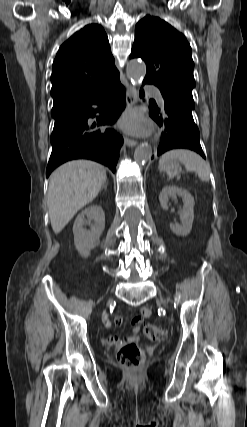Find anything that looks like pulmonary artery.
I'll list each match as a JSON object with an SVG mask.
<instances>
[{
  "instance_id": "1",
  "label": "pulmonary artery",
  "mask_w": 247,
  "mask_h": 427,
  "mask_svg": "<svg viewBox=\"0 0 247 427\" xmlns=\"http://www.w3.org/2000/svg\"><path fill=\"white\" fill-rule=\"evenodd\" d=\"M147 90H148L149 92H151V93L155 96V98L157 99V101H158L161 105H164V100H163L162 94H161V92L159 91V89H157L156 87L148 86V87H147Z\"/></svg>"
}]
</instances>
